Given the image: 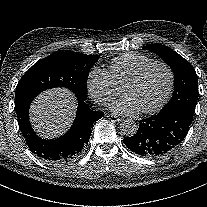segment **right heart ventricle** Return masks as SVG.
<instances>
[{"instance_id": "1", "label": "right heart ventricle", "mask_w": 207, "mask_h": 207, "mask_svg": "<svg viewBox=\"0 0 207 207\" xmlns=\"http://www.w3.org/2000/svg\"><path fill=\"white\" fill-rule=\"evenodd\" d=\"M153 59L138 53H126L115 58L109 68L108 75L112 83L122 86L127 79L139 71L143 66L152 62Z\"/></svg>"}]
</instances>
